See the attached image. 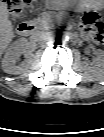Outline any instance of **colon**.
<instances>
[{
	"label": "colon",
	"mask_w": 104,
	"mask_h": 137,
	"mask_svg": "<svg viewBox=\"0 0 104 137\" xmlns=\"http://www.w3.org/2000/svg\"><path fill=\"white\" fill-rule=\"evenodd\" d=\"M8 12L14 18H20L30 0H3ZM84 33L94 42L101 43L104 37V23L101 17L93 11H87L82 17Z\"/></svg>",
	"instance_id": "5ec220e1"
}]
</instances>
